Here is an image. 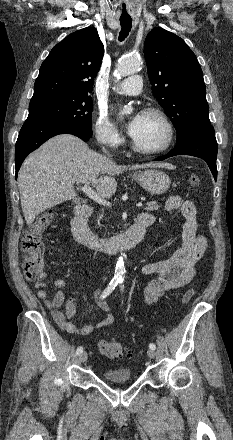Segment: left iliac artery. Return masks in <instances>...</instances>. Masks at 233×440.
<instances>
[{"label": "left iliac artery", "mask_w": 233, "mask_h": 440, "mask_svg": "<svg viewBox=\"0 0 233 440\" xmlns=\"http://www.w3.org/2000/svg\"><path fill=\"white\" fill-rule=\"evenodd\" d=\"M120 283H123V281H121ZM124 285H121V290H123ZM149 348L155 350L156 349V345L154 343H150L149 344Z\"/></svg>", "instance_id": "1"}]
</instances>
